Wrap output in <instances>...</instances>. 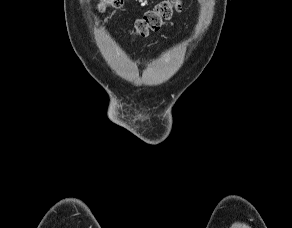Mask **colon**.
Here are the masks:
<instances>
[{"mask_svg": "<svg viewBox=\"0 0 292 228\" xmlns=\"http://www.w3.org/2000/svg\"><path fill=\"white\" fill-rule=\"evenodd\" d=\"M181 4L182 0H163L135 22L132 34L136 37H144L149 32L158 30L162 23L172 16L174 11L180 9ZM122 5L123 0H102L99 9L104 10L107 6L120 8Z\"/></svg>", "mask_w": 292, "mask_h": 228, "instance_id": "obj_1", "label": "colon"}]
</instances>
